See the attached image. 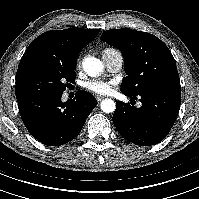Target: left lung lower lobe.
I'll use <instances>...</instances> for the list:
<instances>
[{
	"instance_id": "0a47b994",
	"label": "left lung lower lobe",
	"mask_w": 199,
	"mask_h": 199,
	"mask_svg": "<svg viewBox=\"0 0 199 199\" xmlns=\"http://www.w3.org/2000/svg\"><path fill=\"white\" fill-rule=\"evenodd\" d=\"M139 96L142 103L139 108L116 101L113 123L127 141L151 146L162 141L175 123L181 105V90H152Z\"/></svg>"
}]
</instances>
